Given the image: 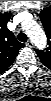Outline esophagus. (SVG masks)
<instances>
[{
	"label": "esophagus",
	"instance_id": "obj_1",
	"mask_svg": "<svg viewBox=\"0 0 51 101\" xmlns=\"http://www.w3.org/2000/svg\"><path fill=\"white\" fill-rule=\"evenodd\" d=\"M26 46H28V47H33V42L31 41V40H28L27 42H26Z\"/></svg>",
	"mask_w": 51,
	"mask_h": 101
}]
</instances>
